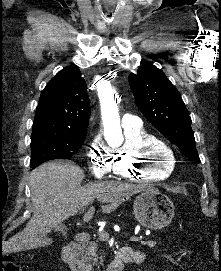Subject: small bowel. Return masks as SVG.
<instances>
[{"mask_svg":"<svg viewBox=\"0 0 221 271\" xmlns=\"http://www.w3.org/2000/svg\"><path fill=\"white\" fill-rule=\"evenodd\" d=\"M134 257L143 256V253L140 251H131Z\"/></svg>","mask_w":221,"mask_h":271,"instance_id":"1","label":"small bowel"}]
</instances>
